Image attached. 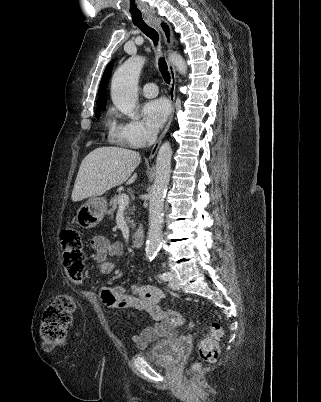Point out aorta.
<instances>
[{
  "label": "aorta",
  "instance_id": "aorta-1",
  "mask_svg": "<svg viewBox=\"0 0 321 402\" xmlns=\"http://www.w3.org/2000/svg\"><path fill=\"white\" fill-rule=\"evenodd\" d=\"M177 71L185 75L187 65L178 53L169 56ZM145 63V57L134 56L127 59L114 73L111 83V98L118 110L135 118L134 109L138 99V79ZM172 149L164 142L156 159V177L149 193V230L146 241V257L153 260L162 241L164 197L170 180Z\"/></svg>",
  "mask_w": 321,
  "mask_h": 402
}]
</instances>
